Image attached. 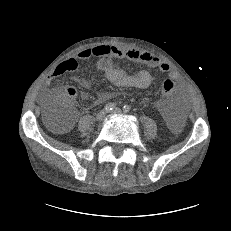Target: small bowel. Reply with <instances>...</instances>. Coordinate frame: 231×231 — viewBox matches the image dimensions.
I'll return each mask as SVG.
<instances>
[{"instance_id":"1","label":"small bowel","mask_w":231,"mask_h":231,"mask_svg":"<svg viewBox=\"0 0 231 231\" xmlns=\"http://www.w3.org/2000/svg\"><path fill=\"white\" fill-rule=\"evenodd\" d=\"M91 57L99 58L94 71L103 74L109 82L117 87L147 88L152 82V76L146 70H140L131 74L123 69L116 68L114 65L115 59L136 61L149 67L158 68L162 72L169 73L170 80H175L177 78V75L172 71L171 66L153 54L136 49H123L115 45H100L83 49L76 56L57 64L45 79L44 85L47 87L50 86L54 79L62 76L66 72L75 71L78 68L79 60H87ZM63 92L64 91H61L60 94ZM81 96L84 99L87 98L86 94H82ZM112 96L113 94L111 92H101L99 93L97 100L103 102ZM157 106L168 122L172 124L176 123L177 113L172 106L166 101H159ZM74 120V116L70 118L67 126L68 128L72 126Z\"/></svg>"}]
</instances>
